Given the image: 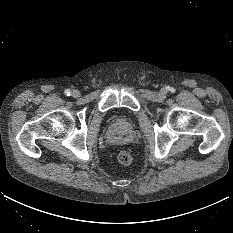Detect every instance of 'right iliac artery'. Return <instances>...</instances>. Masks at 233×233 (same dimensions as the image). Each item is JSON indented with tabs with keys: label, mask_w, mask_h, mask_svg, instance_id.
I'll return each mask as SVG.
<instances>
[{
	"label": "right iliac artery",
	"mask_w": 233,
	"mask_h": 233,
	"mask_svg": "<svg viewBox=\"0 0 233 233\" xmlns=\"http://www.w3.org/2000/svg\"><path fill=\"white\" fill-rule=\"evenodd\" d=\"M70 94H71V91L69 89L65 90V95L66 96H70Z\"/></svg>",
	"instance_id": "1"
}]
</instances>
